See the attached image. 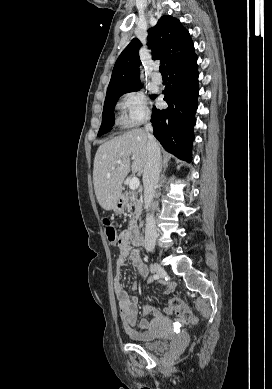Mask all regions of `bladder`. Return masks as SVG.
<instances>
[{"mask_svg":"<svg viewBox=\"0 0 272 389\" xmlns=\"http://www.w3.org/2000/svg\"><path fill=\"white\" fill-rule=\"evenodd\" d=\"M168 341L166 339L146 340L140 342L143 348L150 350H161L167 347Z\"/></svg>","mask_w":272,"mask_h":389,"instance_id":"obj_1","label":"bladder"}]
</instances>
